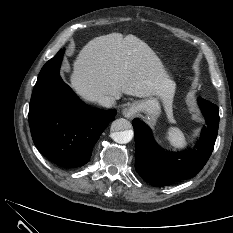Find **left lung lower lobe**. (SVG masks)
Returning a JSON list of instances; mask_svg holds the SVG:
<instances>
[{
	"instance_id": "left-lung-lower-lobe-1",
	"label": "left lung lower lobe",
	"mask_w": 233,
	"mask_h": 233,
	"mask_svg": "<svg viewBox=\"0 0 233 233\" xmlns=\"http://www.w3.org/2000/svg\"><path fill=\"white\" fill-rule=\"evenodd\" d=\"M207 126L197 142V150L180 153L161 149L153 140L151 129L138 119L133 120L135 132V168L148 183L163 187L195 176L208 161L216 141L219 109L205 100L198 99Z\"/></svg>"
}]
</instances>
